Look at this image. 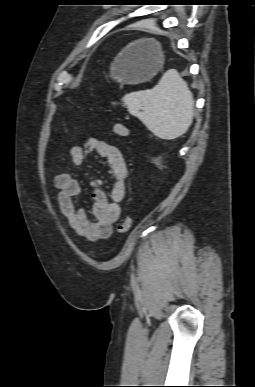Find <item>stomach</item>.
Masks as SVG:
<instances>
[{"label": "stomach", "instance_id": "obj_1", "mask_svg": "<svg viewBox=\"0 0 255 387\" xmlns=\"http://www.w3.org/2000/svg\"><path fill=\"white\" fill-rule=\"evenodd\" d=\"M164 55L153 40L137 41L128 45L112 64L110 76L123 84L149 81L163 67Z\"/></svg>", "mask_w": 255, "mask_h": 387}]
</instances>
